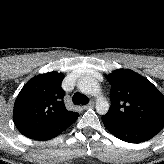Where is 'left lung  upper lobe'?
<instances>
[{"instance_id":"left-lung-upper-lobe-1","label":"left lung upper lobe","mask_w":164,"mask_h":164,"mask_svg":"<svg viewBox=\"0 0 164 164\" xmlns=\"http://www.w3.org/2000/svg\"><path fill=\"white\" fill-rule=\"evenodd\" d=\"M111 84L112 106L107 114L121 122L155 133L164 127V95L132 70L118 69L106 75Z\"/></svg>"}]
</instances>
